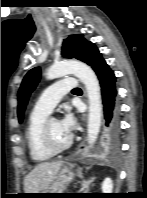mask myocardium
I'll return each mask as SVG.
<instances>
[{
  "instance_id": "f54148a6",
  "label": "myocardium",
  "mask_w": 147,
  "mask_h": 198,
  "mask_svg": "<svg viewBox=\"0 0 147 198\" xmlns=\"http://www.w3.org/2000/svg\"><path fill=\"white\" fill-rule=\"evenodd\" d=\"M48 125L49 121L45 122L42 128V143L44 148L53 155L67 150L72 144V137H69V140L64 145L56 146L51 139Z\"/></svg>"
}]
</instances>
